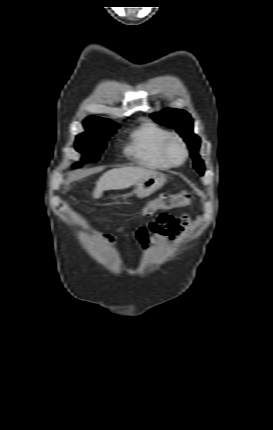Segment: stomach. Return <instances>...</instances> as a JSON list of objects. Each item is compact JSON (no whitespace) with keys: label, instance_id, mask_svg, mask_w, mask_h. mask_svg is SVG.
Returning <instances> with one entry per match:
<instances>
[{"label":"stomach","instance_id":"obj_1","mask_svg":"<svg viewBox=\"0 0 273 430\" xmlns=\"http://www.w3.org/2000/svg\"><path fill=\"white\" fill-rule=\"evenodd\" d=\"M166 178L164 174L153 171L149 175L144 176L135 185L134 193L139 198H145L153 194L156 190L162 187Z\"/></svg>","mask_w":273,"mask_h":430}]
</instances>
